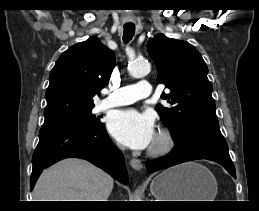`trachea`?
I'll return each mask as SVG.
<instances>
[{
  "label": "trachea",
  "instance_id": "3493384b",
  "mask_svg": "<svg viewBox=\"0 0 259 211\" xmlns=\"http://www.w3.org/2000/svg\"><path fill=\"white\" fill-rule=\"evenodd\" d=\"M135 34V25L126 24L124 25V33H123V41L124 43H128Z\"/></svg>",
  "mask_w": 259,
  "mask_h": 211
}]
</instances>
